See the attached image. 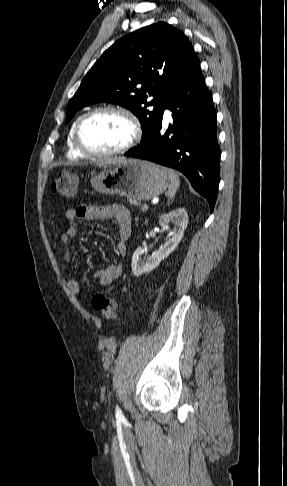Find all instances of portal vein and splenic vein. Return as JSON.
Here are the masks:
<instances>
[{"mask_svg":"<svg viewBox=\"0 0 287 486\" xmlns=\"http://www.w3.org/2000/svg\"><path fill=\"white\" fill-rule=\"evenodd\" d=\"M141 209H142V211H147L148 210V205L144 204Z\"/></svg>","mask_w":287,"mask_h":486,"instance_id":"1","label":"portal vein and splenic vein"}]
</instances>
